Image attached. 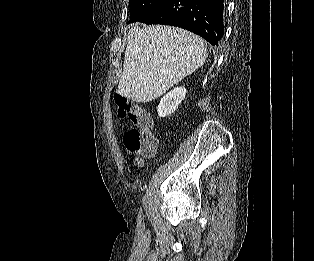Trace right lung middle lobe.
Here are the masks:
<instances>
[{"mask_svg": "<svg viewBox=\"0 0 314 261\" xmlns=\"http://www.w3.org/2000/svg\"><path fill=\"white\" fill-rule=\"evenodd\" d=\"M168 0H130V22L140 21Z\"/></svg>", "mask_w": 314, "mask_h": 261, "instance_id": "obj_1", "label": "right lung middle lobe"}]
</instances>
